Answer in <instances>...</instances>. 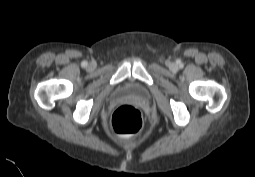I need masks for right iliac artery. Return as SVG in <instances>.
I'll list each match as a JSON object with an SVG mask.
<instances>
[{"label":"right iliac artery","mask_w":255,"mask_h":177,"mask_svg":"<svg viewBox=\"0 0 255 177\" xmlns=\"http://www.w3.org/2000/svg\"><path fill=\"white\" fill-rule=\"evenodd\" d=\"M87 65H88L87 61H83V62L81 63V66H82V67H86Z\"/></svg>","instance_id":"right-iliac-artery-1"}]
</instances>
